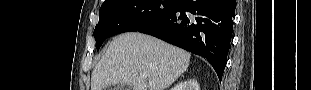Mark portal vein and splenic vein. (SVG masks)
Wrapping results in <instances>:
<instances>
[{
  "mask_svg": "<svg viewBox=\"0 0 311 90\" xmlns=\"http://www.w3.org/2000/svg\"><path fill=\"white\" fill-rule=\"evenodd\" d=\"M141 76H143V77H145V75L144 74H140Z\"/></svg>",
  "mask_w": 311,
  "mask_h": 90,
  "instance_id": "obj_1",
  "label": "portal vein and splenic vein"
}]
</instances>
